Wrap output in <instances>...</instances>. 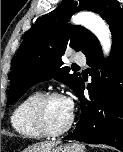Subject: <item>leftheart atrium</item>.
Segmentation results:
<instances>
[{
	"label": "left heart atrium",
	"instance_id": "left-heart-atrium-1",
	"mask_svg": "<svg viewBox=\"0 0 123 152\" xmlns=\"http://www.w3.org/2000/svg\"><path fill=\"white\" fill-rule=\"evenodd\" d=\"M64 99L66 101V104H67L69 110L72 112V110H73V101H72V99L71 98H64Z\"/></svg>",
	"mask_w": 123,
	"mask_h": 152
}]
</instances>
